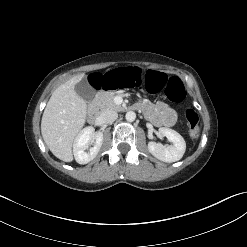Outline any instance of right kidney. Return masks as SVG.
<instances>
[{
  "label": "right kidney",
  "mask_w": 247,
  "mask_h": 247,
  "mask_svg": "<svg viewBox=\"0 0 247 247\" xmlns=\"http://www.w3.org/2000/svg\"><path fill=\"white\" fill-rule=\"evenodd\" d=\"M94 146L89 149L90 143ZM103 142V133L95 132L93 127L84 128L75 138L73 144L74 157L77 163L87 164L92 161L98 154Z\"/></svg>",
  "instance_id": "ca27d5eb"
}]
</instances>
